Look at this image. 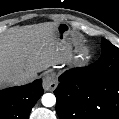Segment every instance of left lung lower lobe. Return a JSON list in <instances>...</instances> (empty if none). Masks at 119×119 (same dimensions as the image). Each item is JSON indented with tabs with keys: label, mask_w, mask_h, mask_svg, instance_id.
Returning <instances> with one entry per match:
<instances>
[{
	"label": "left lung lower lobe",
	"mask_w": 119,
	"mask_h": 119,
	"mask_svg": "<svg viewBox=\"0 0 119 119\" xmlns=\"http://www.w3.org/2000/svg\"><path fill=\"white\" fill-rule=\"evenodd\" d=\"M92 65L59 77L55 89L59 119H119V48L106 39Z\"/></svg>",
	"instance_id": "1"
}]
</instances>
